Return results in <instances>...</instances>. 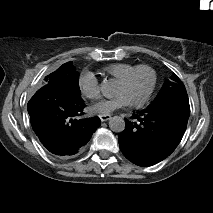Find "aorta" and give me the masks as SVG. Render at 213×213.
Returning <instances> with one entry per match:
<instances>
[{"label":"aorta","instance_id":"obj_1","mask_svg":"<svg viewBox=\"0 0 213 213\" xmlns=\"http://www.w3.org/2000/svg\"><path fill=\"white\" fill-rule=\"evenodd\" d=\"M102 90L106 91L108 90V84L105 83L102 85ZM109 128L111 131L115 133H121L125 129V121L120 116H113L109 118Z\"/></svg>","mask_w":213,"mask_h":213}]
</instances>
